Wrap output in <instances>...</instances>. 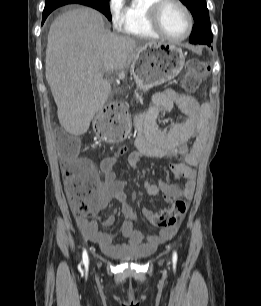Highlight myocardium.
Listing matches in <instances>:
<instances>
[{
	"instance_id": "1",
	"label": "myocardium",
	"mask_w": 261,
	"mask_h": 306,
	"mask_svg": "<svg viewBox=\"0 0 261 306\" xmlns=\"http://www.w3.org/2000/svg\"><path fill=\"white\" fill-rule=\"evenodd\" d=\"M175 4L182 9L187 18V31L182 37L168 35L160 23V13L167 4ZM149 23L153 30L162 38L171 42H182L186 40L193 30V18L189 8L181 0H156L148 9Z\"/></svg>"
}]
</instances>
